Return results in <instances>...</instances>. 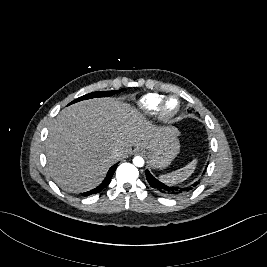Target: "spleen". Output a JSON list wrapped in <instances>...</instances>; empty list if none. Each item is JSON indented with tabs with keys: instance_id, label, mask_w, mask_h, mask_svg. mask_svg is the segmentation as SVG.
Instances as JSON below:
<instances>
[{
	"instance_id": "1",
	"label": "spleen",
	"mask_w": 267,
	"mask_h": 267,
	"mask_svg": "<svg viewBox=\"0 0 267 267\" xmlns=\"http://www.w3.org/2000/svg\"><path fill=\"white\" fill-rule=\"evenodd\" d=\"M197 160L194 159L185 167L178 169L174 172L160 176V180L168 184H177L186 180L194 172Z\"/></svg>"
}]
</instances>
